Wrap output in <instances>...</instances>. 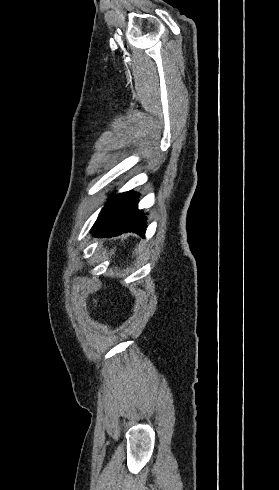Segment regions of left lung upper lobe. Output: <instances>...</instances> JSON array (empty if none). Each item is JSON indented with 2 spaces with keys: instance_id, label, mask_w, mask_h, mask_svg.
<instances>
[{
  "instance_id": "left-lung-upper-lobe-1",
  "label": "left lung upper lobe",
  "mask_w": 279,
  "mask_h": 490,
  "mask_svg": "<svg viewBox=\"0 0 279 490\" xmlns=\"http://www.w3.org/2000/svg\"><path fill=\"white\" fill-rule=\"evenodd\" d=\"M116 199H117V195L114 196L111 200H109L107 202V204L105 205V207L102 209L101 213L99 214V217L96 221L99 222L100 220H102L106 215H108L115 207V204H116Z\"/></svg>"
}]
</instances>
